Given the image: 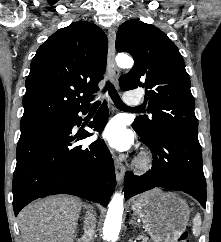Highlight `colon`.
<instances>
[{
  "instance_id": "5ec220e1",
  "label": "colon",
  "mask_w": 221,
  "mask_h": 242,
  "mask_svg": "<svg viewBox=\"0 0 221 242\" xmlns=\"http://www.w3.org/2000/svg\"><path fill=\"white\" fill-rule=\"evenodd\" d=\"M177 242H189L188 241V236L186 232H182L178 238H177Z\"/></svg>"
}]
</instances>
